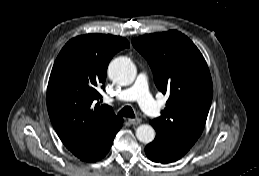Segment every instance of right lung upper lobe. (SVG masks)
Masks as SVG:
<instances>
[{"label": "right lung upper lobe", "instance_id": "obj_1", "mask_svg": "<svg viewBox=\"0 0 259 176\" xmlns=\"http://www.w3.org/2000/svg\"><path fill=\"white\" fill-rule=\"evenodd\" d=\"M129 42L122 37L87 34L71 39L59 53L48 83L47 108L61 141L83 160L121 128L109 106H95L105 89L111 58Z\"/></svg>", "mask_w": 259, "mask_h": 176}]
</instances>
